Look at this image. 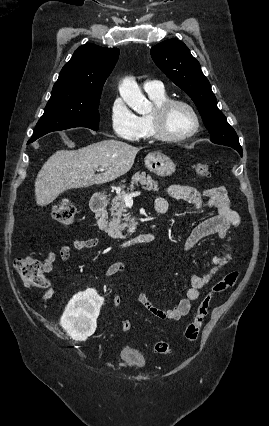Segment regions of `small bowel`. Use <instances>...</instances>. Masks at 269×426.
<instances>
[{
	"instance_id": "c3829d8e",
	"label": "small bowel",
	"mask_w": 269,
	"mask_h": 426,
	"mask_svg": "<svg viewBox=\"0 0 269 426\" xmlns=\"http://www.w3.org/2000/svg\"><path fill=\"white\" fill-rule=\"evenodd\" d=\"M167 195L175 200L185 201L195 206V208L203 213L207 209H214L217 214L206 218L198 224L190 233L185 243V251L192 250L204 238L217 234L223 240L228 238L229 230L238 226L241 222L240 216L232 208L228 199L227 192L224 187H212L204 190H198L190 186L170 185L166 189ZM155 208H164L166 210L167 203L163 198L155 200ZM99 240L96 237L86 239H72L61 246L58 254L50 251L42 261V268L44 273H50L53 270V263L57 256L62 262H67L70 259V252L74 250H86L97 247ZM234 255L232 251L227 248L221 255L215 256L212 260V268L205 275H192L190 279V287L187 289L185 297L180 299L177 304L167 310L156 307L146 294L138 296L139 304L147 310L154 317L161 320H180L186 316L190 309L192 302L196 301L200 296V291L217 273L218 270L227 266L233 261ZM125 266L121 262H114L110 264L106 271V277L116 275H123ZM45 292L42 295V300L47 302L50 300L55 292V282L51 279H46L43 286ZM114 306L118 307L122 304V299L115 296L112 300Z\"/></svg>"
}]
</instances>
